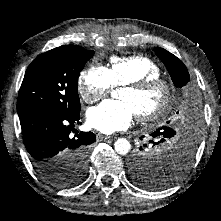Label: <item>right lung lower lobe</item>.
<instances>
[{
	"mask_svg": "<svg viewBox=\"0 0 221 221\" xmlns=\"http://www.w3.org/2000/svg\"><path fill=\"white\" fill-rule=\"evenodd\" d=\"M79 113L38 108L19 115L25 147L39 173L61 163L66 153L89 147L95 141L94 133L73 129L81 124ZM71 132L76 135L72 137Z\"/></svg>",
	"mask_w": 221,
	"mask_h": 221,
	"instance_id": "right-lung-lower-lobe-1",
	"label": "right lung lower lobe"
}]
</instances>
